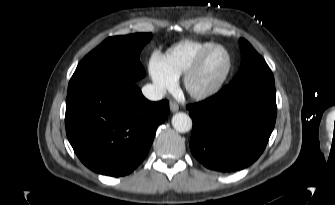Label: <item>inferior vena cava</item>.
<instances>
[{
	"instance_id": "inferior-vena-cava-1",
	"label": "inferior vena cava",
	"mask_w": 335,
	"mask_h": 205,
	"mask_svg": "<svg viewBox=\"0 0 335 205\" xmlns=\"http://www.w3.org/2000/svg\"><path fill=\"white\" fill-rule=\"evenodd\" d=\"M142 93L147 99L151 101H158L164 97L163 90L157 88L156 86L152 84H147L143 86Z\"/></svg>"
}]
</instances>
